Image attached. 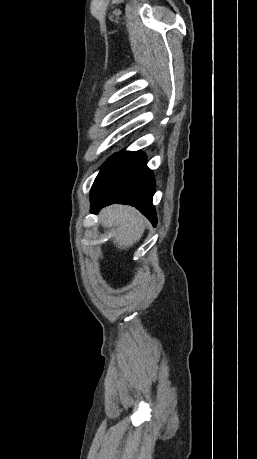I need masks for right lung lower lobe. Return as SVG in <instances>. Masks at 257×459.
<instances>
[{"label": "right lung lower lobe", "mask_w": 257, "mask_h": 459, "mask_svg": "<svg viewBox=\"0 0 257 459\" xmlns=\"http://www.w3.org/2000/svg\"><path fill=\"white\" fill-rule=\"evenodd\" d=\"M140 152H121L102 167L91 188V212L103 206L121 203L139 209L155 226L156 213L152 205L155 179Z\"/></svg>", "instance_id": "1"}]
</instances>
